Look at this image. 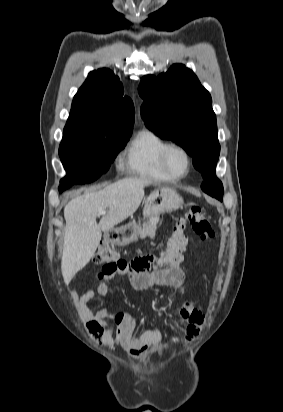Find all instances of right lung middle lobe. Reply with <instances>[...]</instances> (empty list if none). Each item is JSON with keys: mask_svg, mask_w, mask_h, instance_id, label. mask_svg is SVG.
I'll return each instance as SVG.
<instances>
[{"mask_svg": "<svg viewBox=\"0 0 283 412\" xmlns=\"http://www.w3.org/2000/svg\"><path fill=\"white\" fill-rule=\"evenodd\" d=\"M131 133L94 135L67 122L59 147L67 175L60 182L84 184L95 181L108 170Z\"/></svg>", "mask_w": 283, "mask_h": 412, "instance_id": "1", "label": "right lung middle lobe"}]
</instances>
